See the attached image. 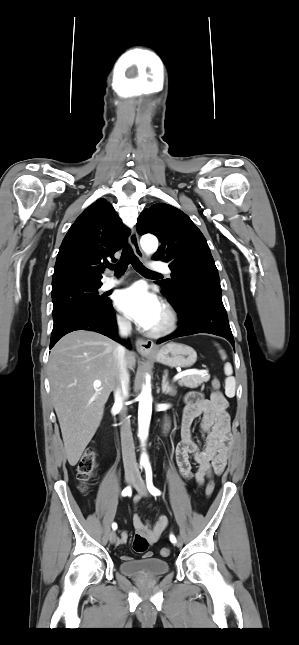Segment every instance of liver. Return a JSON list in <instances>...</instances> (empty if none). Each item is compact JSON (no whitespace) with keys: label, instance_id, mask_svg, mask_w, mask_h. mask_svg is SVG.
<instances>
[{"label":"liver","instance_id":"obj_1","mask_svg":"<svg viewBox=\"0 0 299 645\" xmlns=\"http://www.w3.org/2000/svg\"><path fill=\"white\" fill-rule=\"evenodd\" d=\"M113 340L91 331H74L52 348L48 374L68 462L75 466L96 433L104 406L118 383ZM133 370L135 355L126 353ZM101 386L95 388L94 381Z\"/></svg>","mask_w":299,"mask_h":645}]
</instances>
